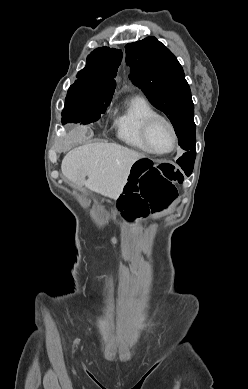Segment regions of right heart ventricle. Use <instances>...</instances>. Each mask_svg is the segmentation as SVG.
Returning a JSON list of instances; mask_svg holds the SVG:
<instances>
[{
    "mask_svg": "<svg viewBox=\"0 0 248 389\" xmlns=\"http://www.w3.org/2000/svg\"><path fill=\"white\" fill-rule=\"evenodd\" d=\"M157 114L152 105L142 96H134L114 116L113 126L117 137L125 144L149 152L142 140L141 130L147 118Z\"/></svg>",
    "mask_w": 248,
    "mask_h": 389,
    "instance_id": "right-heart-ventricle-1",
    "label": "right heart ventricle"
}]
</instances>
